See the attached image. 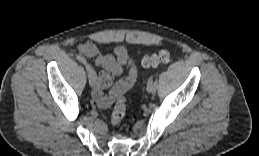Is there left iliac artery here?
<instances>
[{
    "instance_id": "obj_1",
    "label": "left iliac artery",
    "mask_w": 259,
    "mask_h": 156,
    "mask_svg": "<svg viewBox=\"0 0 259 156\" xmlns=\"http://www.w3.org/2000/svg\"><path fill=\"white\" fill-rule=\"evenodd\" d=\"M158 83H159V80H158V79H155V84H154V86H152V89H153L154 94H157L156 89L158 88V85H157Z\"/></svg>"
}]
</instances>
